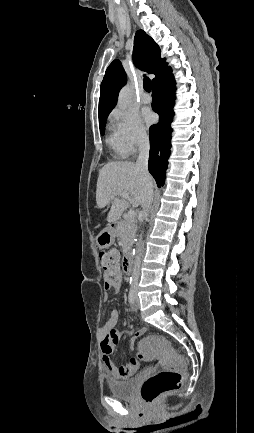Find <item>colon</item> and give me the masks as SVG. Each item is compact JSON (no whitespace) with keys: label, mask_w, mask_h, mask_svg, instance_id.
Wrapping results in <instances>:
<instances>
[{"label":"colon","mask_w":254,"mask_h":433,"mask_svg":"<svg viewBox=\"0 0 254 433\" xmlns=\"http://www.w3.org/2000/svg\"><path fill=\"white\" fill-rule=\"evenodd\" d=\"M99 258L107 276L120 275L119 255L116 250L103 251L99 254ZM152 347L169 350L167 340L160 336L149 337L141 345L142 350ZM168 358V367L149 377L141 387V397L146 403H154L164 394L179 389L183 385V373L186 368L184 360L169 351Z\"/></svg>","instance_id":"colon-1"}]
</instances>
